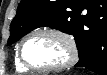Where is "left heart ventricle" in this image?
Here are the masks:
<instances>
[{
    "mask_svg": "<svg viewBox=\"0 0 107 75\" xmlns=\"http://www.w3.org/2000/svg\"><path fill=\"white\" fill-rule=\"evenodd\" d=\"M25 59L35 66H53L65 62L69 57L66 44L55 36L38 34L24 45Z\"/></svg>",
    "mask_w": 107,
    "mask_h": 75,
    "instance_id": "b2bd125f",
    "label": "left heart ventricle"
}]
</instances>
